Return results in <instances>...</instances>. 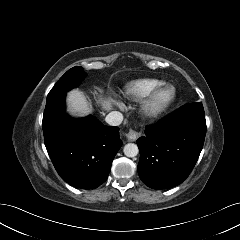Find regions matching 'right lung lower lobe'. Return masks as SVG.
<instances>
[{"label": "right lung lower lobe", "mask_w": 240, "mask_h": 240, "mask_svg": "<svg viewBox=\"0 0 240 240\" xmlns=\"http://www.w3.org/2000/svg\"><path fill=\"white\" fill-rule=\"evenodd\" d=\"M66 93L47 99L43 115L44 142L50 159L68 184L95 189L105 182L122 145L119 128L93 116L75 119L65 113Z\"/></svg>", "instance_id": "1"}]
</instances>
